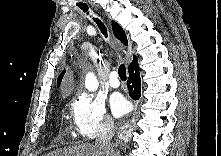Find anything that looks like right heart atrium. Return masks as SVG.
Instances as JSON below:
<instances>
[{
  "instance_id": "1",
  "label": "right heart atrium",
  "mask_w": 221,
  "mask_h": 156,
  "mask_svg": "<svg viewBox=\"0 0 221 156\" xmlns=\"http://www.w3.org/2000/svg\"><path fill=\"white\" fill-rule=\"evenodd\" d=\"M73 130L83 141H92L110 134L114 121L104 103L87 93L78 94L70 106Z\"/></svg>"
}]
</instances>
